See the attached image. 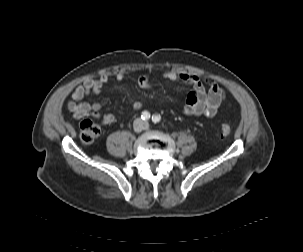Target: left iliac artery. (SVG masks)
Returning a JSON list of instances; mask_svg holds the SVG:
<instances>
[{
	"label": "left iliac artery",
	"instance_id": "44dca946",
	"mask_svg": "<svg viewBox=\"0 0 303 252\" xmlns=\"http://www.w3.org/2000/svg\"><path fill=\"white\" fill-rule=\"evenodd\" d=\"M160 119H161V116L158 115V114L152 116V121H153L155 124L158 123V122L160 121Z\"/></svg>",
	"mask_w": 303,
	"mask_h": 252
}]
</instances>
